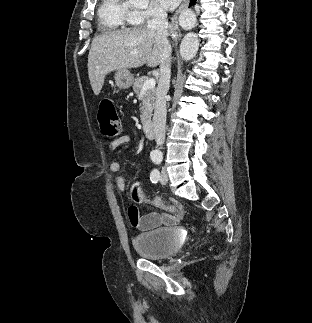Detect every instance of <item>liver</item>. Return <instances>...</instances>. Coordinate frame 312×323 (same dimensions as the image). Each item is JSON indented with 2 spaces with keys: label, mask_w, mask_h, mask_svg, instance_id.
Here are the masks:
<instances>
[{
  "label": "liver",
  "mask_w": 312,
  "mask_h": 323,
  "mask_svg": "<svg viewBox=\"0 0 312 323\" xmlns=\"http://www.w3.org/2000/svg\"><path fill=\"white\" fill-rule=\"evenodd\" d=\"M162 52L156 30L141 26L105 32L92 40L88 74L95 96H99L107 74L114 70L159 66Z\"/></svg>",
  "instance_id": "liver-1"
}]
</instances>
